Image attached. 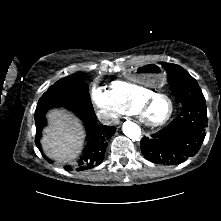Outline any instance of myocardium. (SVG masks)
Masks as SVG:
<instances>
[{
  "instance_id": "1",
  "label": "myocardium",
  "mask_w": 221,
  "mask_h": 221,
  "mask_svg": "<svg viewBox=\"0 0 221 221\" xmlns=\"http://www.w3.org/2000/svg\"><path fill=\"white\" fill-rule=\"evenodd\" d=\"M158 98H164L166 99L169 103H170V111L167 114L166 117H164L163 119L159 120V121H151L148 119V117L146 116V110L149 107V105L156 99ZM138 113L140 121L142 123H144L146 126L148 127H159L162 126L164 124H166L173 116L174 112H175V104L173 99L165 94V93H153L151 95H149L148 97L142 99L138 105L135 108V113Z\"/></svg>"
}]
</instances>
